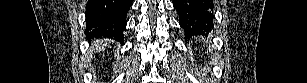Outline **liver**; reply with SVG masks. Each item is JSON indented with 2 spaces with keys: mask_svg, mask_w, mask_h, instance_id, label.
<instances>
[{
  "mask_svg": "<svg viewBox=\"0 0 307 83\" xmlns=\"http://www.w3.org/2000/svg\"><path fill=\"white\" fill-rule=\"evenodd\" d=\"M108 43H109V40L97 41L96 44H95L96 50L98 52L103 50L107 46Z\"/></svg>",
  "mask_w": 307,
  "mask_h": 83,
  "instance_id": "1",
  "label": "liver"
}]
</instances>
